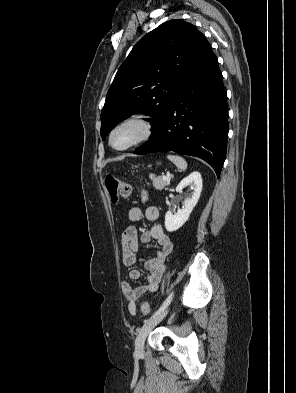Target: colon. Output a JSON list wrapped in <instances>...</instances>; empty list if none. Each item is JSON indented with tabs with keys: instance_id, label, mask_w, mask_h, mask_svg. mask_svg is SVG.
Instances as JSON below:
<instances>
[{
	"instance_id": "5ec220e1",
	"label": "colon",
	"mask_w": 296,
	"mask_h": 393,
	"mask_svg": "<svg viewBox=\"0 0 296 393\" xmlns=\"http://www.w3.org/2000/svg\"><path fill=\"white\" fill-rule=\"evenodd\" d=\"M105 186L110 194L111 200L116 203L119 197L128 198L131 195V185L116 179L112 175H106L104 179ZM142 198H147L146 192L142 191ZM141 313L144 317H148L151 313V308L148 302H143L141 305Z\"/></svg>"
}]
</instances>
